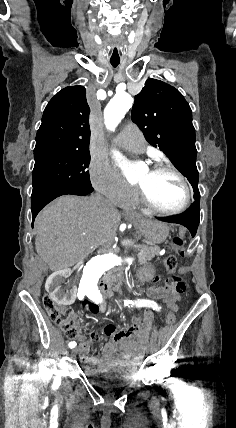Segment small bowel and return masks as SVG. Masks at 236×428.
<instances>
[{"label":"small bowel","mask_w":236,"mask_h":428,"mask_svg":"<svg viewBox=\"0 0 236 428\" xmlns=\"http://www.w3.org/2000/svg\"><path fill=\"white\" fill-rule=\"evenodd\" d=\"M149 298L148 310L145 311L141 327H126L116 329L113 324L105 325L104 335L111 337L103 349L102 356L104 359H119L136 361L142 358L144 345L146 343L150 325L153 319V312L160 311L161 307L157 300L163 299L169 307L176 305L177 296L169 294L164 288L152 286L147 291ZM106 305H101L99 311L105 312ZM85 337V334H83ZM96 334H92L90 339L85 338L81 343L80 359L88 365H97L100 361L97 357L89 355L91 342L97 339Z\"/></svg>","instance_id":"c3829d8e"}]
</instances>
